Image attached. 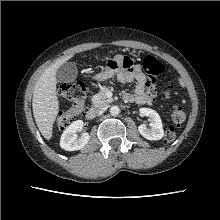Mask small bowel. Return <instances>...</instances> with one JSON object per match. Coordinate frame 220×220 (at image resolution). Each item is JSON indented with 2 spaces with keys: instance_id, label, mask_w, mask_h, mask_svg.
<instances>
[{
  "instance_id": "obj_1",
  "label": "small bowel",
  "mask_w": 220,
  "mask_h": 220,
  "mask_svg": "<svg viewBox=\"0 0 220 220\" xmlns=\"http://www.w3.org/2000/svg\"><path fill=\"white\" fill-rule=\"evenodd\" d=\"M111 71L105 69L98 76L97 80H105L111 76ZM117 80L121 83H131L136 81L135 90L133 93H124L123 99L127 102H136L142 105H150L152 102L151 96L155 89L149 86L144 73L133 65L125 70H120L116 74Z\"/></svg>"
}]
</instances>
